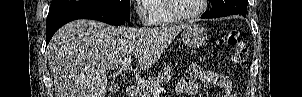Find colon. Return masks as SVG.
I'll use <instances>...</instances> for the list:
<instances>
[{"label": "colon", "mask_w": 302, "mask_h": 97, "mask_svg": "<svg viewBox=\"0 0 302 97\" xmlns=\"http://www.w3.org/2000/svg\"><path fill=\"white\" fill-rule=\"evenodd\" d=\"M219 42L233 47L231 60L234 64L241 65L247 60L248 50L245 43L240 40L239 32L236 29L227 31L223 34L220 37Z\"/></svg>", "instance_id": "5ec220e1"}]
</instances>
